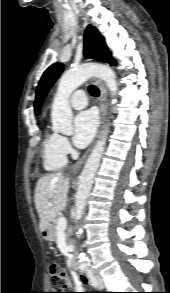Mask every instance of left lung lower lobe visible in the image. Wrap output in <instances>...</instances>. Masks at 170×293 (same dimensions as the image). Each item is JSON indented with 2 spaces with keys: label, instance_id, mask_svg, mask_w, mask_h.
Segmentation results:
<instances>
[{
  "label": "left lung lower lobe",
  "instance_id": "0a47b994",
  "mask_svg": "<svg viewBox=\"0 0 170 293\" xmlns=\"http://www.w3.org/2000/svg\"><path fill=\"white\" fill-rule=\"evenodd\" d=\"M112 65H115L116 63L114 61L111 62Z\"/></svg>",
  "mask_w": 170,
  "mask_h": 293
}]
</instances>
